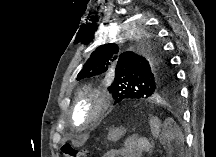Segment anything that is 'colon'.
Returning a JSON list of instances; mask_svg holds the SVG:
<instances>
[{"label":"colon","instance_id":"obj_1","mask_svg":"<svg viewBox=\"0 0 216 157\" xmlns=\"http://www.w3.org/2000/svg\"><path fill=\"white\" fill-rule=\"evenodd\" d=\"M150 127L153 132H157L159 129V121L156 117L150 118ZM63 157H84V153L71 146L70 144H64L61 148Z\"/></svg>","mask_w":216,"mask_h":157}]
</instances>
